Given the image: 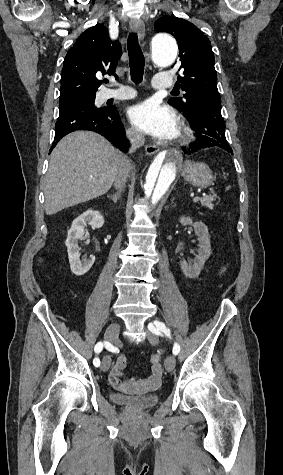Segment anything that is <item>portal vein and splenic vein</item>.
Returning a JSON list of instances; mask_svg holds the SVG:
<instances>
[{"mask_svg":"<svg viewBox=\"0 0 283 475\" xmlns=\"http://www.w3.org/2000/svg\"><path fill=\"white\" fill-rule=\"evenodd\" d=\"M200 198V195H195V197L193 198V202H199Z\"/></svg>","mask_w":283,"mask_h":475,"instance_id":"obj_1","label":"portal vein and splenic vein"}]
</instances>
